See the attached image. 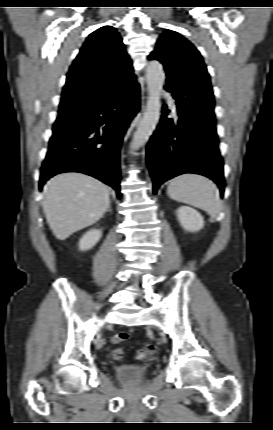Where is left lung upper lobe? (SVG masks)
<instances>
[{
    "mask_svg": "<svg viewBox=\"0 0 273 430\" xmlns=\"http://www.w3.org/2000/svg\"><path fill=\"white\" fill-rule=\"evenodd\" d=\"M149 59L165 67V89L176 102L196 116L215 120L210 76L199 51L177 32L164 31Z\"/></svg>",
    "mask_w": 273,
    "mask_h": 430,
    "instance_id": "1",
    "label": "left lung upper lobe"
}]
</instances>
